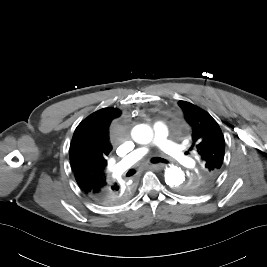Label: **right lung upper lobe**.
I'll use <instances>...</instances> for the list:
<instances>
[{
  "label": "right lung upper lobe",
  "instance_id": "cb5924a9",
  "mask_svg": "<svg viewBox=\"0 0 267 267\" xmlns=\"http://www.w3.org/2000/svg\"><path fill=\"white\" fill-rule=\"evenodd\" d=\"M115 108L100 109L76 128L70 145V163L75 179L86 194H96L114 185L107 178V157L112 150L108 139L111 121L120 116Z\"/></svg>",
  "mask_w": 267,
  "mask_h": 267
}]
</instances>
